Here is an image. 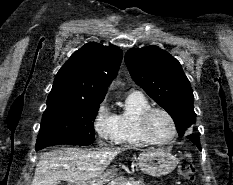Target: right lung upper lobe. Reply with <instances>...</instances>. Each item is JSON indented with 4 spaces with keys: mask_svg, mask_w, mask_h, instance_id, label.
<instances>
[{
    "mask_svg": "<svg viewBox=\"0 0 233 185\" xmlns=\"http://www.w3.org/2000/svg\"><path fill=\"white\" fill-rule=\"evenodd\" d=\"M123 53L116 46L90 42L74 52L58 71L49 95L103 100Z\"/></svg>",
    "mask_w": 233,
    "mask_h": 185,
    "instance_id": "cb5924a9",
    "label": "right lung upper lobe"
}]
</instances>
